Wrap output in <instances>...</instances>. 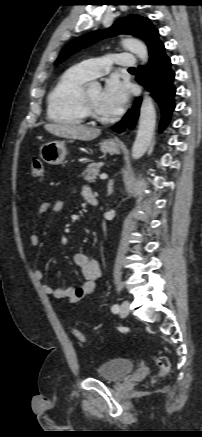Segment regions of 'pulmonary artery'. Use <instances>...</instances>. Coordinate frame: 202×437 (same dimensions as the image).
I'll use <instances>...</instances> for the list:
<instances>
[{"instance_id":"pulmonary-artery-1","label":"pulmonary artery","mask_w":202,"mask_h":437,"mask_svg":"<svg viewBox=\"0 0 202 437\" xmlns=\"http://www.w3.org/2000/svg\"><path fill=\"white\" fill-rule=\"evenodd\" d=\"M112 65L130 69L136 66V59L130 53H117L82 61L77 67L84 75L92 79L106 74Z\"/></svg>"}]
</instances>
